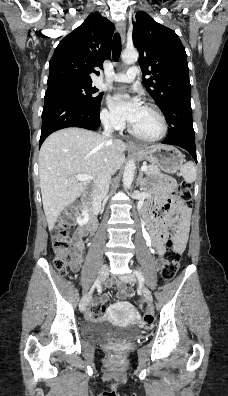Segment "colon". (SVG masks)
Wrapping results in <instances>:
<instances>
[{
	"mask_svg": "<svg viewBox=\"0 0 228 396\" xmlns=\"http://www.w3.org/2000/svg\"><path fill=\"white\" fill-rule=\"evenodd\" d=\"M166 183L179 195L182 203L187 205L190 204L192 194L189 183L185 181L177 183L170 178L166 179ZM72 217L73 212L71 210L65 211L52 227V248L55 254L54 266L63 276L69 273L75 262V254L71 251L69 235ZM181 254L182 250L175 247L170 240L168 242V249L164 254V264L162 268V277L164 280L169 281L173 279L178 272ZM139 306L142 309H146V305L143 301H140ZM103 312L104 307L102 304H94L90 308L92 318H99ZM144 320L149 324L152 322V316L145 314Z\"/></svg>",
	"mask_w": 228,
	"mask_h": 396,
	"instance_id": "1",
	"label": "colon"
}]
</instances>
